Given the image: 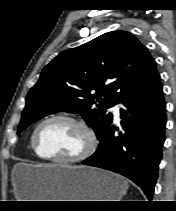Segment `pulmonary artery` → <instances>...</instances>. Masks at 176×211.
I'll return each mask as SVG.
<instances>
[{
	"label": "pulmonary artery",
	"mask_w": 176,
	"mask_h": 211,
	"mask_svg": "<svg viewBox=\"0 0 176 211\" xmlns=\"http://www.w3.org/2000/svg\"><path fill=\"white\" fill-rule=\"evenodd\" d=\"M120 108H121V104L118 103V104H116V105L111 109L112 112H113V114H114V118H115L116 121L119 120Z\"/></svg>",
	"instance_id": "obj_1"
}]
</instances>
